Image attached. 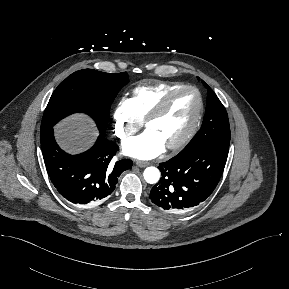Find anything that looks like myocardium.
Instances as JSON below:
<instances>
[{"label": "myocardium", "mask_w": 289, "mask_h": 289, "mask_svg": "<svg viewBox=\"0 0 289 289\" xmlns=\"http://www.w3.org/2000/svg\"><path fill=\"white\" fill-rule=\"evenodd\" d=\"M184 91H193L196 93V95L198 97V109H197L195 118H194L190 128L185 133V135L177 142L165 147L168 151H176V150L183 148L195 136V134L199 128V125L201 123V119H202L203 112H204V99H203V96H202L201 92L199 91V89L196 88L195 86L183 85L179 88L172 90L160 101V103L151 111V113L144 120V127L147 128L150 123H152L153 121L160 118L165 113V111L168 109L172 100L178 94H180Z\"/></svg>", "instance_id": "obj_1"}]
</instances>
